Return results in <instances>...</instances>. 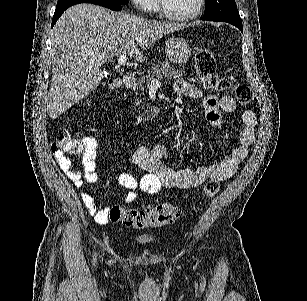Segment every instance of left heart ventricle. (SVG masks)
<instances>
[{
    "instance_id": "left-heart-ventricle-1",
    "label": "left heart ventricle",
    "mask_w": 307,
    "mask_h": 301,
    "mask_svg": "<svg viewBox=\"0 0 307 301\" xmlns=\"http://www.w3.org/2000/svg\"><path fill=\"white\" fill-rule=\"evenodd\" d=\"M197 0H165L166 11L184 13L194 11Z\"/></svg>"
}]
</instances>
